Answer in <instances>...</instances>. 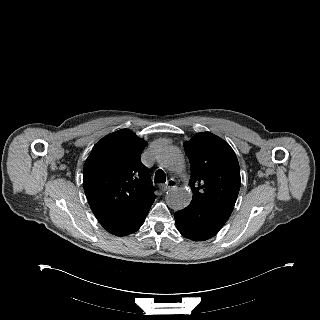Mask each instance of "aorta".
Masks as SVG:
<instances>
[{
	"instance_id": "762f6f07",
	"label": "aorta",
	"mask_w": 320,
	"mask_h": 320,
	"mask_svg": "<svg viewBox=\"0 0 320 320\" xmlns=\"http://www.w3.org/2000/svg\"><path fill=\"white\" fill-rule=\"evenodd\" d=\"M157 160L164 169L169 171L180 172L184 168V158L174 146L163 147L157 155ZM191 199L192 192L186 188L173 190L166 195L168 206L176 211L187 207Z\"/></svg>"
}]
</instances>
